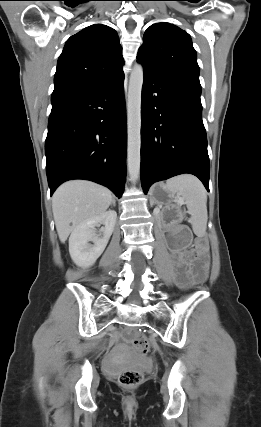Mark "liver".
Wrapping results in <instances>:
<instances>
[{
	"label": "liver",
	"mask_w": 261,
	"mask_h": 427,
	"mask_svg": "<svg viewBox=\"0 0 261 427\" xmlns=\"http://www.w3.org/2000/svg\"><path fill=\"white\" fill-rule=\"evenodd\" d=\"M112 202L109 189L84 180L62 184L52 198V210L59 239L64 243L82 222L103 214Z\"/></svg>",
	"instance_id": "liver-1"
}]
</instances>
